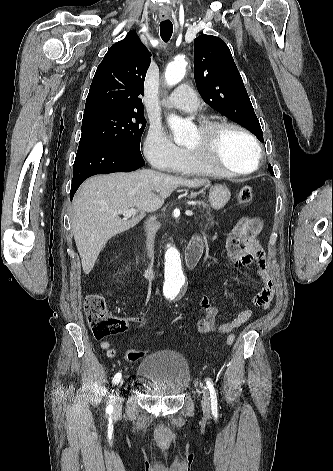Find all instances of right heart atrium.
Instances as JSON below:
<instances>
[{
  "mask_svg": "<svg viewBox=\"0 0 333 471\" xmlns=\"http://www.w3.org/2000/svg\"><path fill=\"white\" fill-rule=\"evenodd\" d=\"M144 154L161 171H175L185 157V150L174 144L158 126H151L144 141Z\"/></svg>",
  "mask_w": 333,
  "mask_h": 471,
  "instance_id": "1",
  "label": "right heart atrium"
}]
</instances>
